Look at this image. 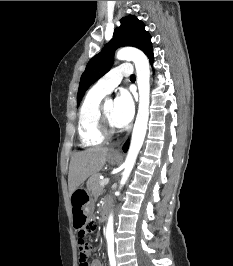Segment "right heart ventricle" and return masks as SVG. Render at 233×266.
Here are the masks:
<instances>
[{
    "label": "right heart ventricle",
    "instance_id": "obj_1",
    "mask_svg": "<svg viewBox=\"0 0 233 266\" xmlns=\"http://www.w3.org/2000/svg\"><path fill=\"white\" fill-rule=\"evenodd\" d=\"M105 95L96 87H92L81 103L78 116V134L82 145L85 147L97 146L104 142L105 138L100 134L97 126V113Z\"/></svg>",
    "mask_w": 233,
    "mask_h": 266
}]
</instances>
